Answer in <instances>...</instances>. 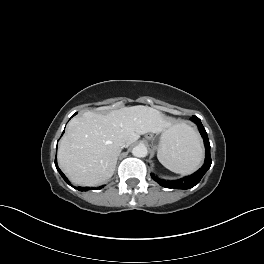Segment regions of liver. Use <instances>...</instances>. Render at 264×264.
Here are the masks:
<instances>
[{
	"label": "liver",
	"mask_w": 264,
	"mask_h": 264,
	"mask_svg": "<svg viewBox=\"0 0 264 264\" xmlns=\"http://www.w3.org/2000/svg\"><path fill=\"white\" fill-rule=\"evenodd\" d=\"M177 125L167 120L160 111L143 105L123 107L107 115L91 111L73 118L58 148V163L75 184L95 186L109 179L121 152L140 135L168 131Z\"/></svg>",
	"instance_id": "obj_1"
}]
</instances>
